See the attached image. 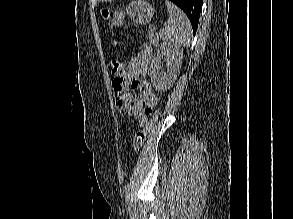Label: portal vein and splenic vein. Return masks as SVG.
<instances>
[{"instance_id":"portal-vein-and-splenic-vein-1","label":"portal vein and splenic vein","mask_w":293,"mask_h":219,"mask_svg":"<svg viewBox=\"0 0 293 219\" xmlns=\"http://www.w3.org/2000/svg\"><path fill=\"white\" fill-rule=\"evenodd\" d=\"M150 29H152V30H156V27H155V26H151Z\"/></svg>"}]
</instances>
